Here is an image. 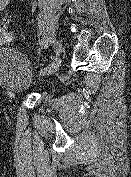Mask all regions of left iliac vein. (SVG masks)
I'll list each match as a JSON object with an SVG mask.
<instances>
[{"instance_id":"1","label":"left iliac vein","mask_w":131,"mask_h":177,"mask_svg":"<svg viewBox=\"0 0 131 177\" xmlns=\"http://www.w3.org/2000/svg\"><path fill=\"white\" fill-rule=\"evenodd\" d=\"M54 48L56 50V54L52 58L53 63L51 65H48L47 69L45 71H43L42 73H40L41 76L53 75L60 67V64H61V56H60L61 45H60V43L55 42Z\"/></svg>"}]
</instances>
